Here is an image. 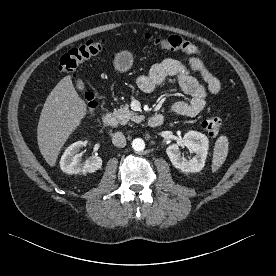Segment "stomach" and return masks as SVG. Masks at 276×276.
<instances>
[{
	"mask_svg": "<svg viewBox=\"0 0 276 276\" xmlns=\"http://www.w3.org/2000/svg\"><path fill=\"white\" fill-rule=\"evenodd\" d=\"M133 65V56L127 50H122L117 53L114 60V67L120 72L128 71Z\"/></svg>",
	"mask_w": 276,
	"mask_h": 276,
	"instance_id": "0dacf381",
	"label": "stomach"
}]
</instances>
